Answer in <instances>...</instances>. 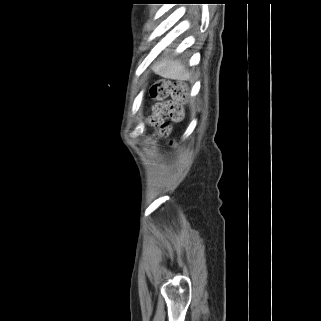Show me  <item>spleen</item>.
Listing matches in <instances>:
<instances>
[{"label":"spleen","mask_w":321,"mask_h":321,"mask_svg":"<svg viewBox=\"0 0 321 321\" xmlns=\"http://www.w3.org/2000/svg\"><path fill=\"white\" fill-rule=\"evenodd\" d=\"M152 69L156 74L167 79L184 81L190 78L189 72L186 71L184 66L177 60L172 62L163 60L154 64Z\"/></svg>","instance_id":"1"}]
</instances>
